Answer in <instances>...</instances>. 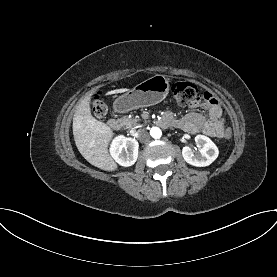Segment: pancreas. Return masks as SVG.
<instances>
[{
    "instance_id": "obj_1",
    "label": "pancreas",
    "mask_w": 277,
    "mask_h": 277,
    "mask_svg": "<svg viewBox=\"0 0 277 277\" xmlns=\"http://www.w3.org/2000/svg\"><path fill=\"white\" fill-rule=\"evenodd\" d=\"M124 122L126 123L128 128H139L142 125L139 123L141 120L139 117H124L123 118Z\"/></svg>"
}]
</instances>
